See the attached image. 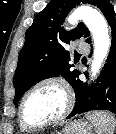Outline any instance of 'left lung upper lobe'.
Listing matches in <instances>:
<instances>
[{
	"label": "left lung upper lobe",
	"instance_id": "5c2ea615",
	"mask_svg": "<svg viewBox=\"0 0 116 134\" xmlns=\"http://www.w3.org/2000/svg\"><path fill=\"white\" fill-rule=\"evenodd\" d=\"M81 2L97 6L104 16L113 8L109 0H51L37 14L26 31L13 78L16 89L13 102L16 106L24 93L41 80L61 75L73 85L78 78L80 72L72 69L70 54L63 45L69 44L70 40L88 38L90 33L83 23L71 32L65 31L61 25L71 9ZM86 42H91V38Z\"/></svg>",
	"mask_w": 116,
	"mask_h": 134
}]
</instances>
